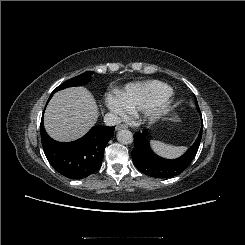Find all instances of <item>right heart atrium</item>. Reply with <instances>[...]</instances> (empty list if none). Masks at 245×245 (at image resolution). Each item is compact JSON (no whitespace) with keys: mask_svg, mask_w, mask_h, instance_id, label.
I'll return each mask as SVG.
<instances>
[{"mask_svg":"<svg viewBox=\"0 0 245 245\" xmlns=\"http://www.w3.org/2000/svg\"><path fill=\"white\" fill-rule=\"evenodd\" d=\"M105 101L107 108L114 114L123 115L129 112L124 102L117 94H107Z\"/></svg>","mask_w":245,"mask_h":245,"instance_id":"obj_1","label":"right heart atrium"}]
</instances>
